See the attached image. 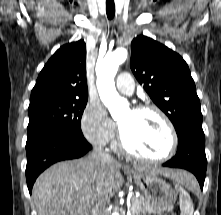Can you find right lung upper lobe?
<instances>
[{
  "label": "right lung upper lobe",
  "mask_w": 221,
  "mask_h": 215,
  "mask_svg": "<svg viewBox=\"0 0 221 215\" xmlns=\"http://www.w3.org/2000/svg\"><path fill=\"white\" fill-rule=\"evenodd\" d=\"M86 47L83 40L60 47L41 70L30 105L53 100H87Z\"/></svg>",
  "instance_id": "obj_1"
}]
</instances>
